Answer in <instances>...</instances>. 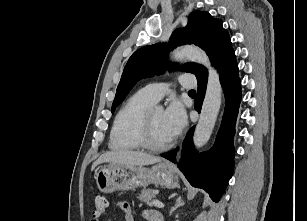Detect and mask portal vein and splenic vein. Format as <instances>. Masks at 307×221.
Wrapping results in <instances>:
<instances>
[{
  "label": "portal vein and splenic vein",
  "instance_id": "1",
  "mask_svg": "<svg viewBox=\"0 0 307 221\" xmlns=\"http://www.w3.org/2000/svg\"><path fill=\"white\" fill-rule=\"evenodd\" d=\"M153 204L155 207L164 208V204L160 202L159 200H153Z\"/></svg>",
  "mask_w": 307,
  "mask_h": 221
}]
</instances>
